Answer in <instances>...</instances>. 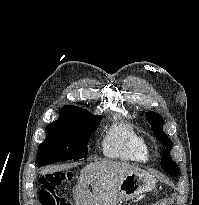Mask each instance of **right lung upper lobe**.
I'll list each match as a JSON object with an SVG mask.
<instances>
[{
    "label": "right lung upper lobe",
    "mask_w": 199,
    "mask_h": 205,
    "mask_svg": "<svg viewBox=\"0 0 199 205\" xmlns=\"http://www.w3.org/2000/svg\"><path fill=\"white\" fill-rule=\"evenodd\" d=\"M68 106H70V105H67V106H64V107H68ZM64 107H63V108H64Z\"/></svg>",
    "instance_id": "cb5924a9"
}]
</instances>
